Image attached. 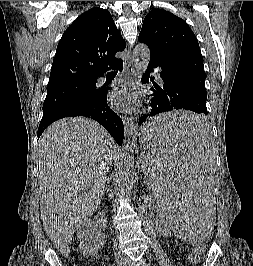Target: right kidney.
Instances as JSON below:
<instances>
[{
  "label": "right kidney",
  "instance_id": "1",
  "mask_svg": "<svg viewBox=\"0 0 253 266\" xmlns=\"http://www.w3.org/2000/svg\"><path fill=\"white\" fill-rule=\"evenodd\" d=\"M77 239L79 250L83 255H96L105 244V237L97 231L95 222L91 219L86 220L77 229Z\"/></svg>",
  "mask_w": 253,
  "mask_h": 266
}]
</instances>
